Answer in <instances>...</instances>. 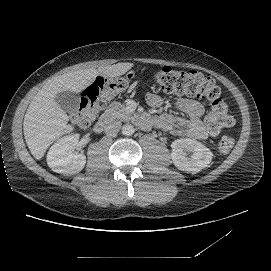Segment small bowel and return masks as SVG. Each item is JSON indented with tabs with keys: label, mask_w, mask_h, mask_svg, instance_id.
<instances>
[{
	"label": "small bowel",
	"mask_w": 271,
	"mask_h": 271,
	"mask_svg": "<svg viewBox=\"0 0 271 271\" xmlns=\"http://www.w3.org/2000/svg\"><path fill=\"white\" fill-rule=\"evenodd\" d=\"M147 103L158 108L163 104V98L155 93L146 96ZM172 105L183 112L186 117H176L171 114H163L156 119V124L173 136H187L194 139H205L208 131L203 122L204 106L193 99L175 98Z\"/></svg>",
	"instance_id": "obj_1"
}]
</instances>
